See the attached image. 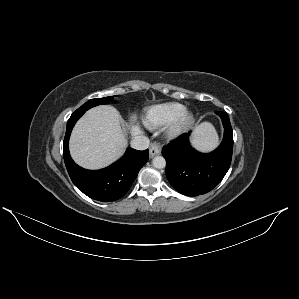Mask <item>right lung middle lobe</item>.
I'll return each instance as SVG.
<instances>
[{"mask_svg": "<svg viewBox=\"0 0 299 299\" xmlns=\"http://www.w3.org/2000/svg\"><path fill=\"white\" fill-rule=\"evenodd\" d=\"M113 98H114V96L91 99V100L87 101L85 104H83L80 108H78L77 111H87L88 109H90L94 106H97V105L109 104L110 102H114Z\"/></svg>", "mask_w": 299, "mask_h": 299, "instance_id": "right-lung-middle-lobe-1", "label": "right lung middle lobe"}]
</instances>
